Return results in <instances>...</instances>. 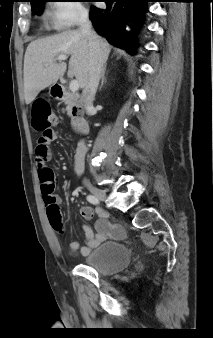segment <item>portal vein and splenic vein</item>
Segmentation results:
<instances>
[{
	"instance_id": "18ae733b",
	"label": "portal vein and splenic vein",
	"mask_w": 213,
	"mask_h": 338,
	"mask_svg": "<svg viewBox=\"0 0 213 338\" xmlns=\"http://www.w3.org/2000/svg\"><path fill=\"white\" fill-rule=\"evenodd\" d=\"M66 59H67V56H66V55H59V56L57 57V60H58V61H64V60H66ZM69 88H70V90H71L72 92L78 91V89H79V83H78V81H77V80H72V81L70 82Z\"/></svg>"
}]
</instances>
